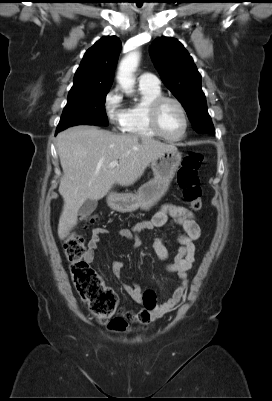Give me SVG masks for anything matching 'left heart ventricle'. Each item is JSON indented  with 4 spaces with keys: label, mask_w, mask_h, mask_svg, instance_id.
<instances>
[{
    "label": "left heart ventricle",
    "mask_w": 272,
    "mask_h": 401,
    "mask_svg": "<svg viewBox=\"0 0 272 401\" xmlns=\"http://www.w3.org/2000/svg\"><path fill=\"white\" fill-rule=\"evenodd\" d=\"M160 126L163 132L170 137L182 134L184 120L180 109L174 103H167L160 112Z\"/></svg>",
    "instance_id": "obj_1"
}]
</instances>
